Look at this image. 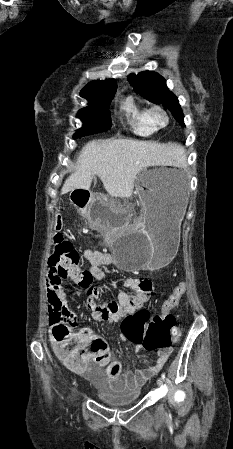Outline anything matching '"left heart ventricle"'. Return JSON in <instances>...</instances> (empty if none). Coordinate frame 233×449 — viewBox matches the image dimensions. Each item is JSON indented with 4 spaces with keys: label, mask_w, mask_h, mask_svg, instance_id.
Returning a JSON list of instances; mask_svg holds the SVG:
<instances>
[{
    "label": "left heart ventricle",
    "mask_w": 233,
    "mask_h": 449,
    "mask_svg": "<svg viewBox=\"0 0 233 449\" xmlns=\"http://www.w3.org/2000/svg\"><path fill=\"white\" fill-rule=\"evenodd\" d=\"M160 121H163V119H162V118H160Z\"/></svg>",
    "instance_id": "left-heart-ventricle-1"
}]
</instances>
